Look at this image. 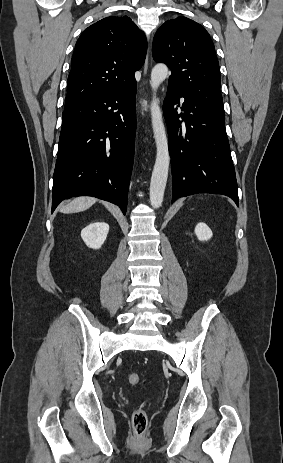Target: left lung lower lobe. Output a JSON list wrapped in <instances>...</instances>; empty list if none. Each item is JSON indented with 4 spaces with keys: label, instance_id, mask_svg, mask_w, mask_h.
Wrapping results in <instances>:
<instances>
[{
    "label": "left lung lower lobe",
    "instance_id": "0a47b994",
    "mask_svg": "<svg viewBox=\"0 0 283 463\" xmlns=\"http://www.w3.org/2000/svg\"><path fill=\"white\" fill-rule=\"evenodd\" d=\"M184 103L178 114L179 99ZM172 163V202L195 193L226 195L238 205V192L225 117L193 103L169 84L163 106ZM181 117L185 122L182 129Z\"/></svg>",
    "mask_w": 283,
    "mask_h": 463
}]
</instances>
